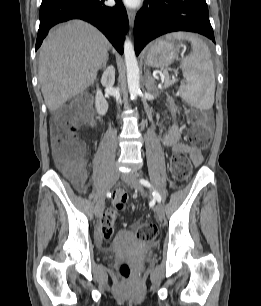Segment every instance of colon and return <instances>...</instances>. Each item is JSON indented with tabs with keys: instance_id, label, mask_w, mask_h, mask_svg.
<instances>
[{
	"instance_id": "obj_1",
	"label": "colon",
	"mask_w": 261,
	"mask_h": 306,
	"mask_svg": "<svg viewBox=\"0 0 261 306\" xmlns=\"http://www.w3.org/2000/svg\"><path fill=\"white\" fill-rule=\"evenodd\" d=\"M88 97H81L60 109L55 118L57 135L54 143V158L67 176L77 184L85 180L83 164L85 146L77 135V130L84 124L89 116ZM192 125L188 132L190 143L199 149L207 148L211 141V133L207 122L192 117ZM173 177L177 181L186 180L192 171V162L185 151H176L170 161ZM127 201L125 192H116L112 199L111 208L107 209L101 218V232L105 240H110L114 233L116 210L124 207ZM138 237L146 242H153L158 236V229L152 223H147L137 228ZM119 274L128 278L131 267L121 263L118 267Z\"/></svg>"
}]
</instances>
